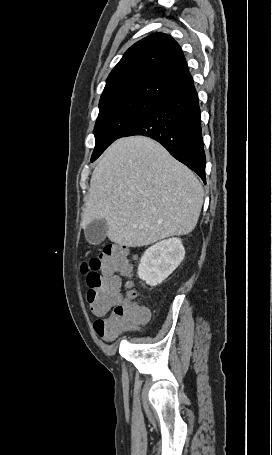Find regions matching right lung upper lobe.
Here are the masks:
<instances>
[{"label": "right lung upper lobe", "instance_id": "obj_1", "mask_svg": "<svg viewBox=\"0 0 272 455\" xmlns=\"http://www.w3.org/2000/svg\"><path fill=\"white\" fill-rule=\"evenodd\" d=\"M193 85L181 47L169 35L154 33L125 52L107 78L99 106L132 97L166 101Z\"/></svg>", "mask_w": 272, "mask_h": 455}]
</instances>
